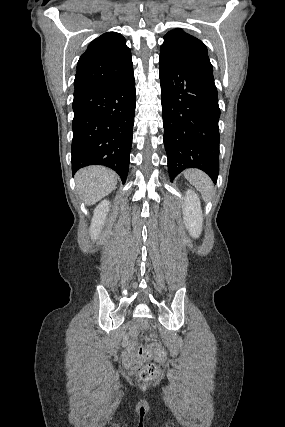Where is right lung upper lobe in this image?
I'll return each mask as SVG.
<instances>
[{
	"label": "right lung upper lobe",
	"instance_id": "right-lung-upper-lobe-1",
	"mask_svg": "<svg viewBox=\"0 0 285 427\" xmlns=\"http://www.w3.org/2000/svg\"><path fill=\"white\" fill-rule=\"evenodd\" d=\"M132 72L125 38L116 32L104 33L89 44L78 61L74 94L121 81Z\"/></svg>",
	"mask_w": 285,
	"mask_h": 427
}]
</instances>
